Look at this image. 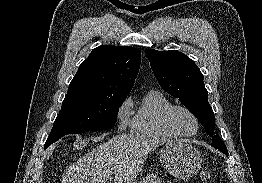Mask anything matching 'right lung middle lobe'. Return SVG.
<instances>
[{
    "label": "right lung middle lobe",
    "instance_id": "1",
    "mask_svg": "<svg viewBox=\"0 0 262 183\" xmlns=\"http://www.w3.org/2000/svg\"><path fill=\"white\" fill-rule=\"evenodd\" d=\"M125 99L83 93L67 94L45 145L67 134L112 128Z\"/></svg>",
    "mask_w": 262,
    "mask_h": 183
}]
</instances>
